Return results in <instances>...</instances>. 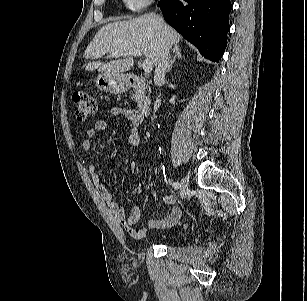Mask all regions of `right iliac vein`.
Returning a JSON list of instances; mask_svg holds the SVG:
<instances>
[{
  "instance_id": "right-iliac-vein-1",
  "label": "right iliac vein",
  "mask_w": 307,
  "mask_h": 301,
  "mask_svg": "<svg viewBox=\"0 0 307 301\" xmlns=\"http://www.w3.org/2000/svg\"><path fill=\"white\" fill-rule=\"evenodd\" d=\"M188 185H189V180L187 177L182 178V187H181V196L182 198H186L188 195Z\"/></svg>"
}]
</instances>
